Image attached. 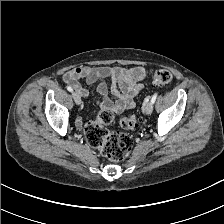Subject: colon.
Listing matches in <instances>:
<instances>
[{
	"instance_id": "obj_1",
	"label": "colon",
	"mask_w": 224,
	"mask_h": 224,
	"mask_svg": "<svg viewBox=\"0 0 224 224\" xmlns=\"http://www.w3.org/2000/svg\"><path fill=\"white\" fill-rule=\"evenodd\" d=\"M149 77L157 86H168L173 80L172 73L167 69L149 72ZM114 120L113 113L108 109L101 110L95 120L86 124L84 134L87 142L100 150L101 154L110 160L120 161L130 152L132 138L125 133L110 132L107 126ZM138 119L135 115L120 119V126L130 130L137 126Z\"/></svg>"
}]
</instances>
